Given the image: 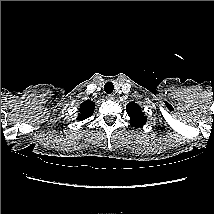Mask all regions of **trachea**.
Segmentation results:
<instances>
[{
	"label": "trachea",
	"instance_id": "1",
	"mask_svg": "<svg viewBox=\"0 0 214 214\" xmlns=\"http://www.w3.org/2000/svg\"><path fill=\"white\" fill-rule=\"evenodd\" d=\"M114 90V85L113 83L111 82H107L104 86V91L107 93V94H111Z\"/></svg>",
	"mask_w": 214,
	"mask_h": 214
}]
</instances>
